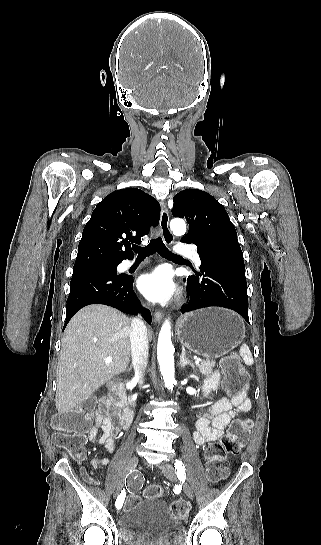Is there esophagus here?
I'll use <instances>...</instances> for the list:
<instances>
[{"label":"esophagus","mask_w":321,"mask_h":545,"mask_svg":"<svg viewBox=\"0 0 321 545\" xmlns=\"http://www.w3.org/2000/svg\"><path fill=\"white\" fill-rule=\"evenodd\" d=\"M160 229L163 239L166 243L171 244L174 242V236L169 228V212L165 203L161 202V217H160ZM164 317V312L158 310L154 313V320L160 323Z\"/></svg>","instance_id":"34e87169"}]
</instances>
